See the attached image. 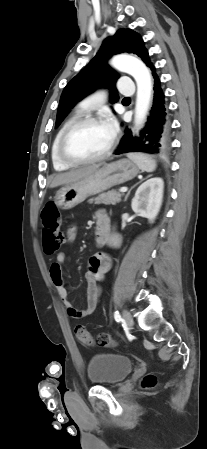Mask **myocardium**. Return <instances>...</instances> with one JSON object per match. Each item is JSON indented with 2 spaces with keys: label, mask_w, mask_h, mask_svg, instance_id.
<instances>
[{
  "label": "myocardium",
  "mask_w": 207,
  "mask_h": 449,
  "mask_svg": "<svg viewBox=\"0 0 207 449\" xmlns=\"http://www.w3.org/2000/svg\"><path fill=\"white\" fill-rule=\"evenodd\" d=\"M86 124H105L104 120L101 117L96 116H84V117H78L75 120H73L62 132L59 142H58V156L60 160L69 165V166H79V165H86V164H92L99 161H102L106 159L113 151L116 145V135H114L111 139L110 144L108 145L107 149L101 153L98 156L91 157V158H75L70 156L66 151V141L69 137V135L72 133L73 130H75L77 127L86 125Z\"/></svg>",
  "instance_id": "1"
}]
</instances>
